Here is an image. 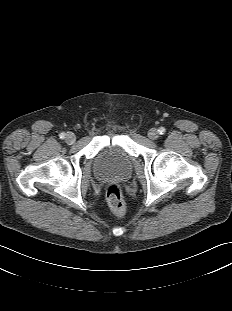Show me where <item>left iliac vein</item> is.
<instances>
[{"label":"left iliac vein","instance_id":"4c4485c4","mask_svg":"<svg viewBox=\"0 0 232 311\" xmlns=\"http://www.w3.org/2000/svg\"><path fill=\"white\" fill-rule=\"evenodd\" d=\"M148 137L149 139L151 140H156L158 137H159V132L157 129L155 128H151L149 131H148Z\"/></svg>","mask_w":232,"mask_h":311}]
</instances>
